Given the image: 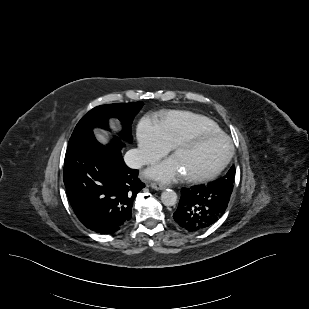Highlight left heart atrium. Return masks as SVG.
<instances>
[{"label": "left heart atrium", "instance_id": "39dd6f15", "mask_svg": "<svg viewBox=\"0 0 309 309\" xmlns=\"http://www.w3.org/2000/svg\"><path fill=\"white\" fill-rule=\"evenodd\" d=\"M147 175L151 178L167 182L180 180L186 176L175 156H172L147 170Z\"/></svg>", "mask_w": 309, "mask_h": 309}]
</instances>
